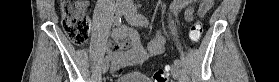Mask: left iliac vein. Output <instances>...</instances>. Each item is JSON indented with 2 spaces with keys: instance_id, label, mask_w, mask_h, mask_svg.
Wrapping results in <instances>:
<instances>
[{
  "instance_id": "left-iliac-vein-1",
  "label": "left iliac vein",
  "mask_w": 279,
  "mask_h": 82,
  "mask_svg": "<svg viewBox=\"0 0 279 82\" xmlns=\"http://www.w3.org/2000/svg\"><path fill=\"white\" fill-rule=\"evenodd\" d=\"M124 17L127 22L133 26L139 27L143 24V22L138 19L137 12L134 8H127L124 12ZM171 74L177 80H181L182 78L181 69L176 64L171 67Z\"/></svg>"
}]
</instances>
